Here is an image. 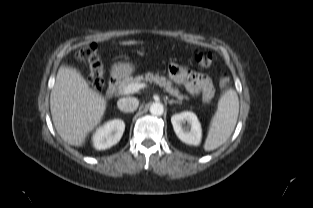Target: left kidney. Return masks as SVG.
<instances>
[{"mask_svg":"<svg viewBox=\"0 0 313 208\" xmlns=\"http://www.w3.org/2000/svg\"><path fill=\"white\" fill-rule=\"evenodd\" d=\"M187 122L190 128L184 126ZM171 123L177 137L184 143L198 146L202 138L201 124L193 112L184 111L171 117Z\"/></svg>","mask_w":313,"mask_h":208,"instance_id":"left-kidney-1","label":"left kidney"}]
</instances>
